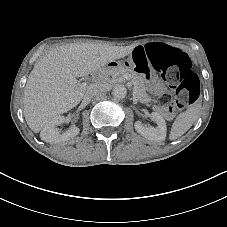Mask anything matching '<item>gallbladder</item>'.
<instances>
[{
  "label": "gallbladder",
  "instance_id": "1",
  "mask_svg": "<svg viewBox=\"0 0 227 227\" xmlns=\"http://www.w3.org/2000/svg\"><path fill=\"white\" fill-rule=\"evenodd\" d=\"M85 81H86L87 83H90V82H91V78L88 77V78L85 79Z\"/></svg>",
  "mask_w": 227,
  "mask_h": 227
}]
</instances>
